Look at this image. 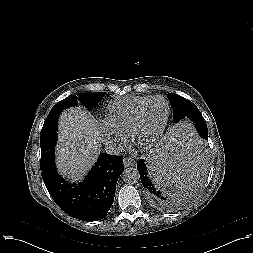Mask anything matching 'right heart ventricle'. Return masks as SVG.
Segmentation results:
<instances>
[{
	"mask_svg": "<svg viewBox=\"0 0 253 253\" xmlns=\"http://www.w3.org/2000/svg\"><path fill=\"white\" fill-rule=\"evenodd\" d=\"M151 96H123L111 100L107 107L106 121L118 134L127 135L138 107Z\"/></svg>",
	"mask_w": 253,
	"mask_h": 253,
	"instance_id": "1",
	"label": "right heart ventricle"
}]
</instances>
